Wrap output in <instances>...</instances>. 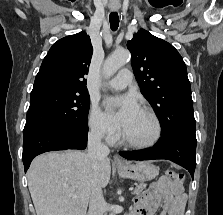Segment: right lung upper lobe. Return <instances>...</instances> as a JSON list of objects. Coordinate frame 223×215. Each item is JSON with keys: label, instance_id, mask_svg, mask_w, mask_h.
<instances>
[{"label": "right lung upper lobe", "instance_id": "obj_1", "mask_svg": "<svg viewBox=\"0 0 223 215\" xmlns=\"http://www.w3.org/2000/svg\"><path fill=\"white\" fill-rule=\"evenodd\" d=\"M93 53L85 32L66 36L52 45L36 75L31 93L53 91L88 95L86 80Z\"/></svg>", "mask_w": 223, "mask_h": 215}]
</instances>
